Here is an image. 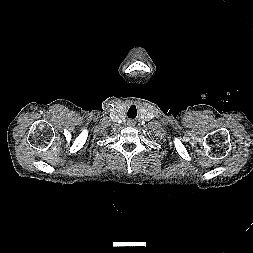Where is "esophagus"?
I'll list each match as a JSON object with an SVG mask.
<instances>
[{"label": "esophagus", "mask_w": 253, "mask_h": 253, "mask_svg": "<svg viewBox=\"0 0 253 253\" xmlns=\"http://www.w3.org/2000/svg\"><path fill=\"white\" fill-rule=\"evenodd\" d=\"M134 124H135V122H134L133 120H129V121H128V125H129V126H133Z\"/></svg>", "instance_id": "1"}]
</instances>
